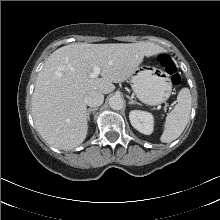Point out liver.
I'll list each match as a JSON object with an SVG mask.
<instances>
[{"instance_id": "liver-1", "label": "liver", "mask_w": 220, "mask_h": 220, "mask_svg": "<svg viewBox=\"0 0 220 220\" xmlns=\"http://www.w3.org/2000/svg\"><path fill=\"white\" fill-rule=\"evenodd\" d=\"M164 52L150 42L74 43L55 50L39 72L32 96L37 131L55 148L70 150L79 146L88 132L86 94L114 91L113 83L130 78L145 56ZM95 65L101 69V78L89 76Z\"/></svg>"}]
</instances>
